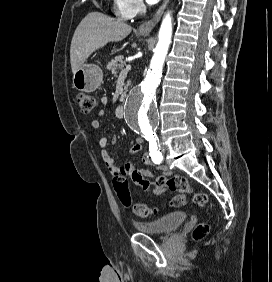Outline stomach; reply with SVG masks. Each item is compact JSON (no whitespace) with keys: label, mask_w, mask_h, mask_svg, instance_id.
Segmentation results:
<instances>
[{"label":"stomach","mask_w":272,"mask_h":282,"mask_svg":"<svg viewBox=\"0 0 272 282\" xmlns=\"http://www.w3.org/2000/svg\"><path fill=\"white\" fill-rule=\"evenodd\" d=\"M102 80L103 72L98 65L84 64L73 75V87L91 93L101 85Z\"/></svg>","instance_id":"0dacf381"}]
</instances>
